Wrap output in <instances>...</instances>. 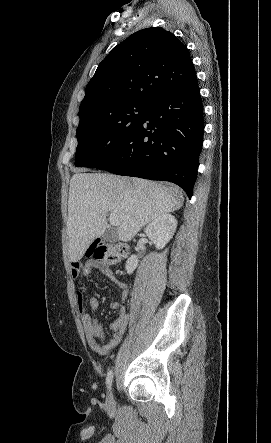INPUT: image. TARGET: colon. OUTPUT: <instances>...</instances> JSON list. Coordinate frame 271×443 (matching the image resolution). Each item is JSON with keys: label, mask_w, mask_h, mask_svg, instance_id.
<instances>
[{"label": "colon", "mask_w": 271, "mask_h": 443, "mask_svg": "<svg viewBox=\"0 0 271 443\" xmlns=\"http://www.w3.org/2000/svg\"><path fill=\"white\" fill-rule=\"evenodd\" d=\"M124 243H95L88 251V256L105 261L109 265H117L127 254Z\"/></svg>", "instance_id": "obj_1"}]
</instances>
